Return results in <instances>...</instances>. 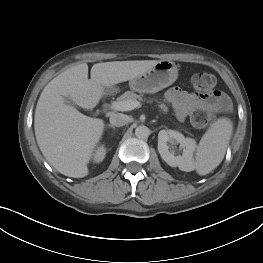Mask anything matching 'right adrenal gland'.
Masks as SVG:
<instances>
[{"mask_svg": "<svg viewBox=\"0 0 263 263\" xmlns=\"http://www.w3.org/2000/svg\"><path fill=\"white\" fill-rule=\"evenodd\" d=\"M108 127L112 128V129H115V127H114V126H112V125H110V124L108 125Z\"/></svg>", "mask_w": 263, "mask_h": 263, "instance_id": "1", "label": "right adrenal gland"}]
</instances>
